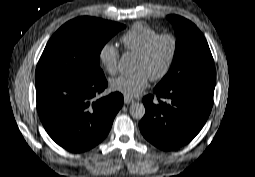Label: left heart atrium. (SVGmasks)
I'll use <instances>...</instances> for the list:
<instances>
[{"label":"left heart atrium","instance_id":"obj_1","mask_svg":"<svg viewBox=\"0 0 255 177\" xmlns=\"http://www.w3.org/2000/svg\"><path fill=\"white\" fill-rule=\"evenodd\" d=\"M111 89L126 97H137L148 86V76L143 72L121 75L111 81Z\"/></svg>","mask_w":255,"mask_h":177}]
</instances>
